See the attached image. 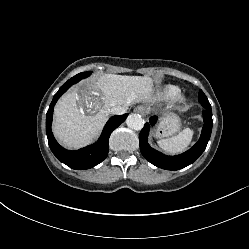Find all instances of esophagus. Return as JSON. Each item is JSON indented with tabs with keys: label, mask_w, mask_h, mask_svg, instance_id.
<instances>
[{
	"label": "esophagus",
	"mask_w": 249,
	"mask_h": 249,
	"mask_svg": "<svg viewBox=\"0 0 249 249\" xmlns=\"http://www.w3.org/2000/svg\"><path fill=\"white\" fill-rule=\"evenodd\" d=\"M134 111H135L136 113L141 114L142 116H145L146 113H147V110H146L145 107H143V106H138V107H136V108L134 109Z\"/></svg>",
	"instance_id": "34e87169"
}]
</instances>
